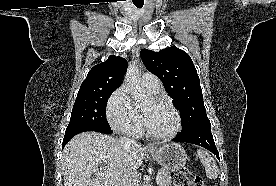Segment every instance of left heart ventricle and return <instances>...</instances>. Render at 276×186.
<instances>
[{
  "mask_svg": "<svg viewBox=\"0 0 276 186\" xmlns=\"http://www.w3.org/2000/svg\"><path fill=\"white\" fill-rule=\"evenodd\" d=\"M148 128L156 134L171 133L177 124L176 115L167 105L156 104L151 100L141 108Z\"/></svg>",
  "mask_w": 276,
  "mask_h": 186,
  "instance_id": "1",
  "label": "left heart ventricle"
}]
</instances>
